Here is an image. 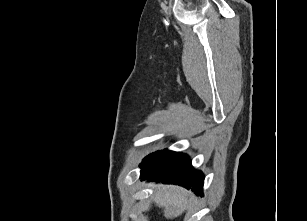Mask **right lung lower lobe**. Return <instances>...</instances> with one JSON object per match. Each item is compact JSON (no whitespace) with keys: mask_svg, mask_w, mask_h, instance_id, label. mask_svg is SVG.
<instances>
[{"mask_svg":"<svg viewBox=\"0 0 307 221\" xmlns=\"http://www.w3.org/2000/svg\"><path fill=\"white\" fill-rule=\"evenodd\" d=\"M142 179L183 186L202 195L204 175L193 168L187 155L169 150L157 151L140 164Z\"/></svg>","mask_w":307,"mask_h":221,"instance_id":"obj_1","label":"right lung lower lobe"}]
</instances>
